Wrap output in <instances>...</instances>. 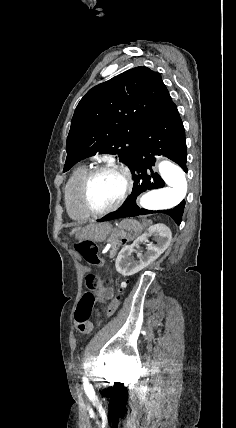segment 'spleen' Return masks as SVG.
<instances>
[{
	"label": "spleen",
	"mask_w": 236,
	"mask_h": 428,
	"mask_svg": "<svg viewBox=\"0 0 236 428\" xmlns=\"http://www.w3.org/2000/svg\"><path fill=\"white\" fill-rule=\"evenodd\" d=\"M120 228L122 230H128V232H136V234H139L142 230L141 224L139 222H136V220H123L120 224Z\"/></svg>",
	"instance_id": "3e777b00"
}]
</instances>
